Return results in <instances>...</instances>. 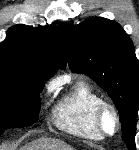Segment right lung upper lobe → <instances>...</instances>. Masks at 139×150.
Instances as JSON below:
<instances>
[{"mask_svg":"<svg viewBox=\"0 0 139 150\" xmlns=\"http://www.w3.org/2000/svg\"><path fill=\"white\" fill-rule=\"evenodd\" d=\"M65 64L55 25L37 28L14 25L0 44V70L29 73L44 81Z\"/></svg>","mask_w":139,"mask_h":150,"instance_id":"obj_1","label":"right lung upper lobe"}]
</instances>
